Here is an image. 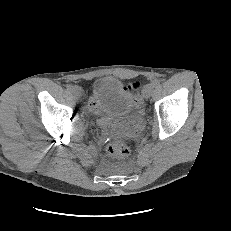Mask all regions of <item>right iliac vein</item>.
Segmentation results:
<instances>
[{
	"instance_id": "63e3f726",
	"label": "right iliac vein",
	"mask_w": 231,
	"mask_h": 231,
	"mask_svg": "<svg viewBox=\"0 0 231 231\" xmlns=\"http://www.w3.org/2000/svg\"><path fill=\"white\" fill-rule=\"evenodd\" d=\"M72 92L77 99L81 98L82 93H83L82 89L78 86H75Z\"/></svg>"
}]
</instances>
